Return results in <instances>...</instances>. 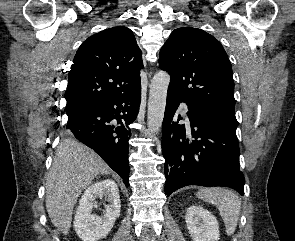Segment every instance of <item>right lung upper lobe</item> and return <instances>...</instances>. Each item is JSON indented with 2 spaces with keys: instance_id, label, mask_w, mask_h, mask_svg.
<instances>
[{
  "instance_id": "1",
  "label": "right lung upper lobe",
  "mask_w": 295,
  "mask_h": 241,
  "mask_svg": "<svg viewBox=\"0 0 295 241\" xmlns=\"http://www.w3.org/2000/svg\"><path fill=\"white\" fill-rule=\"evenodd\" d=\"M142 68V52L129 28L112 27L90 36L79 47L69 72L67 114L130 92L140 84Z\"/></svg>"
}]
</instances>
